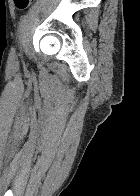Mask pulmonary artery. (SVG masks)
I'll return each instance as SVG.
<instances>
[{
    "label": "pulmonary artery",
    "instance_id": "e3ab8cb5",
    "mask_svg": "<svg viewBox=\"0 0 140 196\" xmlns=\"http://www.w3.org/2000/svg\"><path fill=\"white\" fill-rule=\"evenodd\" d=\"M42 192H53V191H42Z\"/></svg>",
    "mask_w": 140,
    "mask_h": 196
}]
</instances>
